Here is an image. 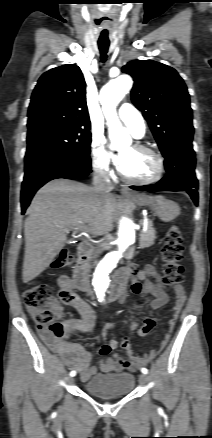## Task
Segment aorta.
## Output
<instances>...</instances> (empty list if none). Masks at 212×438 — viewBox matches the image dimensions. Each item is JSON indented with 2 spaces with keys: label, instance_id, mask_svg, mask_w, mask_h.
Here are the masks:
<instances>
[{
  "label": "aorta",
  "instance_id": "1",
  "mask_svg": "<svg viewBox=\"0 0 212 438\" xmlns=\"http://www.w3.org/2000/svg\"><path fill=\"white\" fill-rule=\"evenodd\" d=\"M132 84L131 77L123 74L107 83L100 91V103L109 126L110 139L113 145L116 143L117 135L125 132L117 116L116 106L130 91ZM135 238L136 232L133 221L127 216L121 217L116 240L118 249L106 254L90 275L91 286L100 302H103L106 298L110 286L111 272L124 257L128 248L133 245Z\"/></svg>",
  "mask_w": 212,
  "mask_h": 438
}]
</instances>
